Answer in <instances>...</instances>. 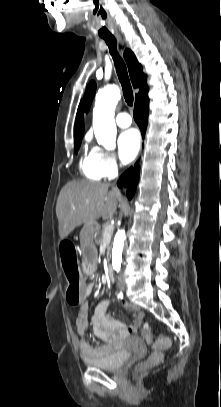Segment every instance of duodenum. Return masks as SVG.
Segmentation results:
<instances>
[{"label": "duodenum", "mask_w": 221, "mask_h": 407, "mask_svg": "<svg viewBox=\"0 0 221 407\" xmlns=\"http://www.w3.org/2000/svg\"><path fill=\"white\" fill-rule=\"evenodd\" d=\"M106 275H107L108 280L112 281L114 279L113 271L110 266H108L106 269Z\"/></svg>", "instance_id": "duodenum-1"}]
</instances>
